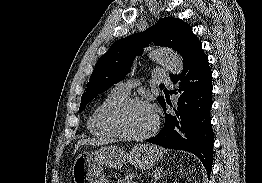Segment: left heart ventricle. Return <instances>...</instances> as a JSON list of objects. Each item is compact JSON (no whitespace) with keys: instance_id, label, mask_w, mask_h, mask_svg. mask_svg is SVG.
Listing matches in <instances>:
<instances>
[{"instance_id":"b2bd125f","label":"left heart ventricle","mask_w":262,"mask_h":183,"mask_svg":"<svg viewBox=\"0 0 262 183\" xmlns=\"http://www.w3.org/2000/svg\"><path fill=\"white\" fill-rule=\"evenodd\" d=\"M154 124V112L147 105H133L122 116V126L129 134H145L152 129Z\"/></svg>"}]
</instances>
